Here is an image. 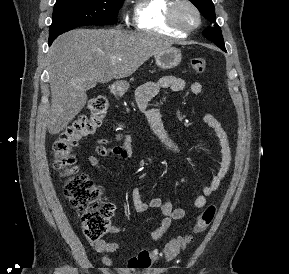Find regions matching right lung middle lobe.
<instances>
[{"label": "right lung middle lobe", "instance_id": "obj_1", "mask_svg": "<svg viewBox=\"0 0 289 274\" xmlns=\"http://www.w3.org/2000/svg\"><path fill=\"white\" fill-rule=\"evenodd\" d=\"M124 0H57L49 44L60 34L84 25H112Z\"/></svg>", "mask_w": 289, "mask_h": 274}]
</instances>
